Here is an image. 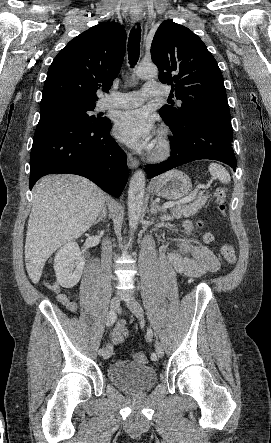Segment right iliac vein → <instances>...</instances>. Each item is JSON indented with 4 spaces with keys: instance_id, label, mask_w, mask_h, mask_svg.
I'll return each instance as SVG.
<instances>
[{
    "instance_id": "right-iliac-vein-1",
    "label": "right iliac vein",
    "mask_w": 271,
    "mask_h": 443,
    "mask_svg": "<svg viewBox=\"0 0 271 443\" xmlns=\"http://www.w3.org/2000/svg\"><path fill=\"white\" fill-rule=\"evenodd\" d=\"M119 305H120V303L117 298H113L110 301V309L114 312L119 308ZM112 352H113V347H112V345L108 344L106 346L104 354H103L104 359L110 358V356L112 355Z\"/></svg>"
}]
</instances>
